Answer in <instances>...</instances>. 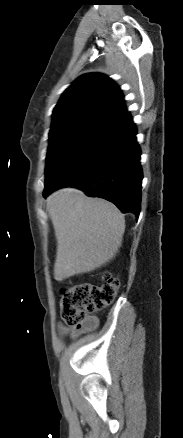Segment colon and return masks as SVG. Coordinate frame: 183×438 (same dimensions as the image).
I'll list each match as a JSON object with an SVG mask.
<instances>
[{
	"mask_svg": "<svg viewBox=\"0 0 183 438\" xmlns=\"http://www.w3.org/2000/svg\"><path fill=\"white\" fill-rule=\"evenodd\" d=\"M103 283L83 282L66 288L61 293V318L72 327H80L87 314L110 305L118 292L119 280L108 272L102 274Z\"/></svg>",
	"mask_w": 183,
	"mask_h": 438,
	"instance_id": "5ec220e1",
	"label": "colon"
}]
</instances>
